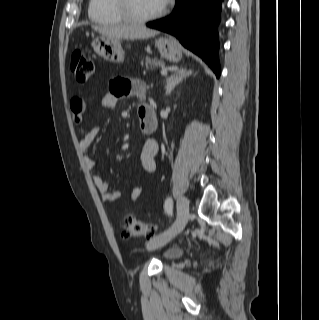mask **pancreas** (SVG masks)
I'll list each match as a JSON object with an SVG mask.
<instances>
[{
  "mask_svg": "<svg viewBox=\"0 0 319 320\" xmlns=\"http://www.w3.org/2000/svg\"><path fill=\"white\" fill-rule=\"evenodd\" d=\"M145 65L147 67V69L149 68H157V67H163L164 63L162 61H159L157 58H149L146 57L145 58Z\"/></svg>",
  "mask_w": 319,
  "mask_h": 320,
  "instance_id": "1",
  "label": "pancreas"
}]
</instances>
